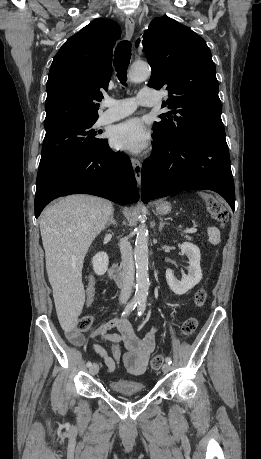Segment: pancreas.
Segmentation results:
<instances>
[{
    "mask_svg": "<svg viewBox=\"0 0 261 459\" xmlns=\"http://www.w3.org/2000/svg\"><path fill=\"white\" fill-rule=\"evenodd\" d=\"M185 238H187L188 240H191L192 238L190 236H185Z\"/></svg>",
    "mask_w": 261,
    "mask_h": 459,
    "instance_id": "1",
    "label": "pancreas"
}]
</instances>
